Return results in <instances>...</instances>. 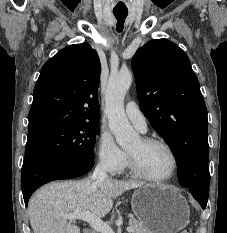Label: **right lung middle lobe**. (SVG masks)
I'll return each mask as SVG.
<instances>
[{
	"mask_svg": "<svg viewBox=\"0 0 227 233\" xmlns=\"http://www.w3.org/2000/svg\"><path fill=\"white\" fill-rule=\"evenodd\" d=\"M99 121H77L28 135L22 171L52 160L91 163Z\"/></svg>",
	"mask_w": 227,
	"mask_h": 233,
	"instance_id": "1",
	"label": "right lung middle lobe"
}]
</instances>
